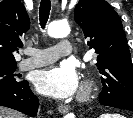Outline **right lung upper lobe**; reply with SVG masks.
Masks as SVG:
<instances>
[{
	"label": "right lung upper lobe",
	"instance_id": "1",
	"mask_svg": "<svg viewBox=\"0 0 133 118\" xmlns=\"http://www.w3.org/2000/svg\"><path fill=\"white\" fill-rule=\"evenodd\" d=\"M29 27V17L19 0L0 2V63H16L14 53L23 46L21 37Z\"/></svg>",
	"mask_w": 133,
	"mask_h": 118
}]
</instances>
